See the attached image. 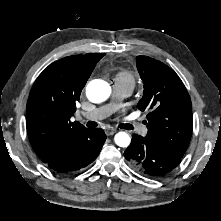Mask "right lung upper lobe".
I'll use <instances>...</instances> for the list:
<instances>
[{
    "instance_id": "cb5924a9",
    "label": "right lung upper lobe",
    "mask_w": 221,
    "mask_h": 221,
    "mask_svg": "<svg viewBox=\"0 0 221 221\" xmlns=\"http://www.w3.org/2000/svg\"><path fill=\"white\" fill-rule=\"evenodd\" d=\"M105 53L68 56L50 64L36 79L27 101L26 128L43 163L56 158L89 129L71 122L82 89Z\"/></svg>"
}]
</instances>
